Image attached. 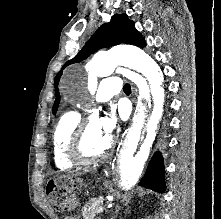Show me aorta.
I'll return each instance as SVG.
<instances>
[{"label": "aorta", "instance_id": "1", "mask_svg": "<svg viewBox=\"0 0 221 219\" xmlns=\"http://www.w3.org/2000/svg\"><path fill=\"white\" fill-rule=\"evenodd\" d=\"M117 67H126L142 74L148 82L151 96L140 104L134 123L120 151L114 167L115 183L122 191H129L137 182L149 156L150 148L156 136V130L163 118L162 88L164 77L158 64L143 50L133 46H123L106 53L96 54L87 64L90 74L96 77H106ZM74 71L68 70L63 82L67 84ZM95 90V86L91 87ZM146 137L137 150L141 133Z\"/></svg>", "mask_w": 221, "mask_h": 219}]
</instances>
